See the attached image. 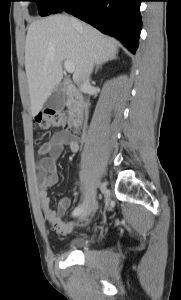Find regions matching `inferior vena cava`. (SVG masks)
Wrapping results in <instances>:
<instances>
[{
	"mask_svg": "<svg viewBox=\"0 0 181 300\" xmlns=\"http://www.w3.org/2000/svg\"><path fill=\"white\" fill-rule=\"evenodd\" d=\"M71 22L73 25H78V21L75 18H71ZM93 70V64L90 61H86L84 73L81 78L80 90L83 93H86L90 88V75ZM89 106V101H86L84 104L85 113L87 114V108Z\"/></svg>",
	"mask_w": 181,
	"mask_h": 300,
	"instance_id": "obj_1",
	"label": "inferior vena cava"
}]
</instances>
